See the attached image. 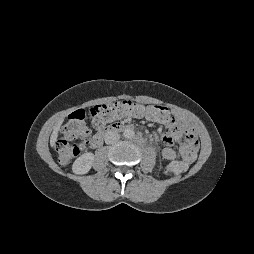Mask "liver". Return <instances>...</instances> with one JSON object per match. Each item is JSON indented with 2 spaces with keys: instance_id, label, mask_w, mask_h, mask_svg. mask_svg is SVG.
<instances>
[{
  "instance_id": "1",
  "label": "liver",
  "mask_w": 254,
  "mask_h": 254,
  "mask_svg": "<svg viewBox=\"0 0 254 254\" xmlns=\"http://www.w3.org/2000/svg\"><path fill=\"white\" fill-rule=\"evenodd\" d=\"M64 119H61L54 127L53 129V132L51 134V137H50V145L51 147H54L55 146V143L57 141V138H58V132H59V129H60V126L61 124L63 123Z\"/></svg>"
}]
</instances>
